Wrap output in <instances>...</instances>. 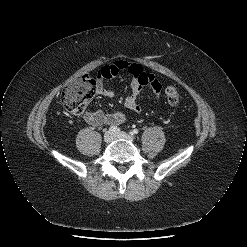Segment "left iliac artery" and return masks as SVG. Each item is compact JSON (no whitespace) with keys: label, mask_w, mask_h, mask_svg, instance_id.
Listing matches in <instances>:
<instances>
[{"label":"left iliac artery","mask_w":247,"mask_h":247,"mask_svg":"<svg viewBox=\"0 0 247 247\" xmlns=\"http://www.w3.org/2000/svg\"><path fill=\"white\" fill-rule=\"evenodd\" d=\"M139 133V130L138 129H134L130 132L131 135H136Z\"/></svg>","instance_id":"left-iliac-artery-1"}]
</instances>
